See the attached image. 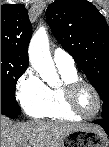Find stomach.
<instances>
[{
	"label": "stomach",
	"mask_w": 109,
	"mask_h": 147,
	"mask_svg": "<svg viewBox=\"0 0 109 147\" xmlns=\"http://www.w3.org/2000/svg\"><path fill=\"white\" fill-rule=\"evenodd\" d=\"M109 139L105 133L90 130H75L68 133L62 147H108Z\"/></svg>",
	"instance_id": "0dacf381"
}]
</instances>
